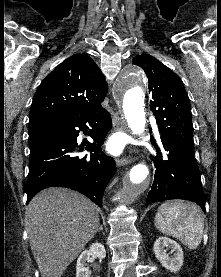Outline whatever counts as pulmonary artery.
Segmentation results:
<instances>
[{
	"instance_id": "obj_1",
	"label": "pulmonary artery",
	"mask_w": 221,
	"mask_h": 277,
	"mask_svg": "<svg viewBox=\"0 0 221 277\" xmlns=\"http://www.w3.org/2000/svg\"><path fill=\"white\" fill-rule=\"evenodd\" d=\"M154 131H155L156 134H158V128H157L156 125H154Z\"/></svg>"
}]
</instances>
